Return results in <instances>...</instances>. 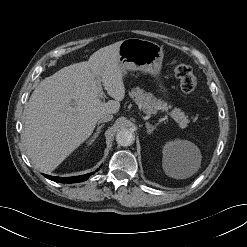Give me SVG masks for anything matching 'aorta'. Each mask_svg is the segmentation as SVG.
Returning a JSON list of instances; mask_svg holds the SVG:
<instances>
[{
    "instance_id": "aorta-1",
    "label": "aorta",
    "mask_w": 247,
    "mask_h": 247,
    "mask_svg": "<svg viewBox=\"0 0 247 247\" xmlns=\"http://www.w3.org/2000/svg\"><path fill=\"white\" fill-rule=\"evenodd\" d=\"M134 139V134L129 129H122L116 135V141L120 146H130L133 144Z\"/></svg>"
}]
</instances>
